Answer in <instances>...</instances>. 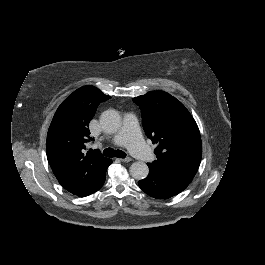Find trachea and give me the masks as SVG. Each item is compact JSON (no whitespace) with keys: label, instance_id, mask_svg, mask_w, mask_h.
<instances>
[{"label":"trachea","instance_id":"trachea-1","mask_svg":"<svg viewBox=\"0 0 265 265\" xmlns=\"http://www.w3.org/2000/svg\"><path fill=\"white\" fill-rule=\"evenodd\" d=\"M103 155L109 158H126V153L121 150H113L112 148H106L103 151Z\"/></svg>","mask_w":265,"mask_h":265}]
</instances>
